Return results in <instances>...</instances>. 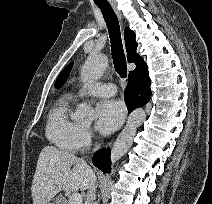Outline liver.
Masks as SVG:
<instances>
[{
    "label": "liver",
    "instance_id": "6515ba94",
    "mask_svg": "<svg viewBox=\"0 0 212 204\" xmlns=\"http://www.w3.org/2000/svg\"><path fill=\"white\" fill-rule=\"evenodd\" d=\"M91 173L92 169L83 159L56 147L45 146L39 154L32 182L33 204H47L62 190L84 191L88 188Z\"/></svg>",
    "mask_w": 212,
    "mask_h": 204
}]
</instances>
